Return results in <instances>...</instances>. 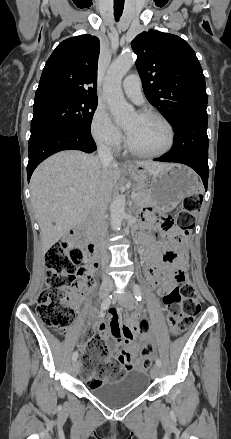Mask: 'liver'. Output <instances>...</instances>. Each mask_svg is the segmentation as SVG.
Masks as SVG:
<instances>
[{
  "label": "liver",
  "mask_w": 231,
  "mask_h": 439,
  "mask_svg": "<svg viewBox=\"0 0 231 439\" xmlns=\"http://www.w3.org/2000/svg\"><path fill=\"white\" fill-rule=\"evenodd\" d=\"M136 165L153 175L173 164L140 161ZM121 175L118 163L103 165L99 157L76 150L56 153L36 168L30 180L31 202L44 254L91 214L102 189L110 199Z\"/></svg>",
  "instance_id": "liver-1"
}]
</instances>
